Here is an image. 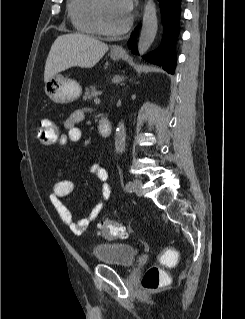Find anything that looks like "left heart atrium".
Wrapping results in <instances>:
<instances>
[{
	"instance_id": "obj_1",
	"label": "left heart atrium",
	"mask_w": 245,
	"mask_h": 319,
	"mask_svg": "<svg viewBox=\"0 0 245 319\" xmlns=\"http://www.w3.org/2000/svg\"><path fill=\"white\" fill-rule=\"evenodd\" d=\"M116 6L119 11L125 15L129 16L133 10L134 0H115Z\"/></svg>"
}]
</instances>
